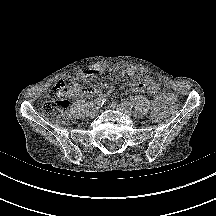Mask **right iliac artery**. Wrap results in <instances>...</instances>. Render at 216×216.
I'll use <instances>...</instances> for the list:
<instances>
[{"label":"right iliac artery","mask_w":216,"mask_h":216,"mask_svg":"<svg viewBox=\"0 0 216 216\" xmlns=\"http://www.w3.org/2000/svg\"><path fill=\"white\" fill-rule=\"evenodd\" d=\"M105 102H106V96L101 95L96 99L95 104H97L98 106H102Z\"/></svg>","instance_id":"right-iliac-artery-1"}]
</instances>
